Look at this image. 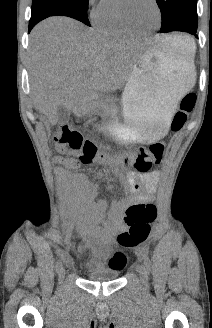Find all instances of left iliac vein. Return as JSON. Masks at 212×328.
<instances>
[{
  "label": "left iliac vein",
  "instance_id": "4c4485c4",
  "mask_svg": "<svg viewBox=\"0 0 212 328\" xmlns=\"http://www.w3.org/2000/svg\"><path fill=\"white\" fill-rule=\"evenodd\" d=\"M138 272H139V275H140L141 282L146 283L147 280H148V273H147L145 265H140L138 267Z\"/></svg>",
  "mask_w": 212,
  "mask_h": 328
}]
</instances>
